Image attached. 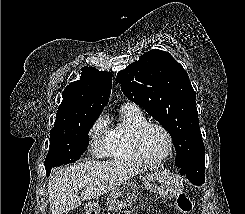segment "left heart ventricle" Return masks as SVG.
Instances as JSON below:
<instances>
[{
	"mask_svg": "<svg viewBox=\"0 0 245 214\" xmlns=\"http://www.w3.org/2000/svg\"><path fill=\"white\" fill-rule=\"evenodd\" d=\"M142 148L149 159H158L168 150V140L165 134L157 128H149L142 138Z\"/></svg>",
	"mask_w": 245,
	"mask_h": 214,
	"instance_id": "1",
	"label": "left heart ventricle"
}]
</instances>
